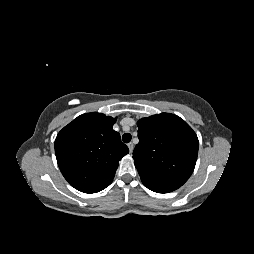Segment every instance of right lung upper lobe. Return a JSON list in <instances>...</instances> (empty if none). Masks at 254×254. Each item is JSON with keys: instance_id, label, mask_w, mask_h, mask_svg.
<instances>
[{"instance_id": "obj_1", "label": "right lung upper lobe", "mask_w": 254, "mask_h": 254, "mask_svg": "<svg viewBox=\"0 0 254 254\" xmlns=\"http://www.w3.org/2000/svg\"><path fill=\"white\" fill-rule=\"evenodd\" d=\"M116 119L102 113H86L65 126L55 140L58 166L77 190L94 193L112 182L119 160L128 154Z\"/></svg>"}]
</instances>
